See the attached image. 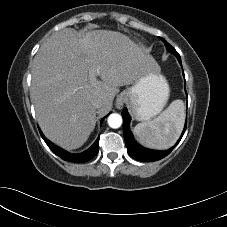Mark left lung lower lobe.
I'll return each instance as SVG.
<instances>
[{
  "mask_svg": "<svg viewBox=\"0 0 227 227\" xmlns=\"http://www.w3.org/2000/svg\"><path fill=\"white\" fill-rule=\"evenodd\" d=\"M179 63L181 64V61H179ZM122 117H123V134H124V138H125L127 152L131 157H133L134 159H136L138 161H149L150 162V161H157V160L164 158L180 142V140L186 130V124H185L184 130L182 132L180 139L178 140L176 145L174 147L170 148L169 150H167V151L150 150V149L144 148L143 146L139 145L135 141V139L129 129V124H130L131 118H130V115L128 114V111L126 108L123 109V111H122Z\"/></svg>",
  "mask_w": 227,
  "mask_h": 227,
  "instance_id": "0a47b994",
  "label": "left lung lower lobe"
}]
</instances>
